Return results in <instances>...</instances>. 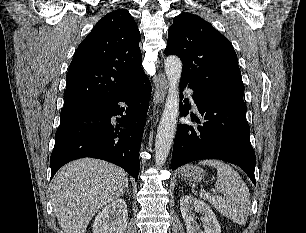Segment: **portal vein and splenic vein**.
<instances>
[{"mask_svg": "<svg viewBox=\"0 0 306 233\" xmlns=\"http://www.w3.org/2000/svg\"><path fill=\"white\" fill-rule=\"evenodd\" d=\"M214 193H217V190H213Z\"/></svg>", "mask_w": 306, "mask_h": 233, "instance_id": "obj_1", "label": "portal vein and splenic vein"}]
</instances>
